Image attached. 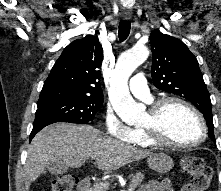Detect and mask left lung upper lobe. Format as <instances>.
I'll list each match as a JSON object with an SVG mask.
<instances>
[{"mask_svg":"<svg viewBox=\"0 0 221 191\" xmlns=\"http://www.w3.org/2000/svg\"><path fill=\"white\" fill-rule=\"evenodd\" d=\"M152 80L155 87L189 100L204 115L208 135L215 141L212 104L198 61L179 39L154 31L150 34Z\"/></svg>","mask_w":221,"mask_h":191,"instance_id":"left-lung-upper-lobe-1","label":"left lung upper lobe"}]
</instances>
